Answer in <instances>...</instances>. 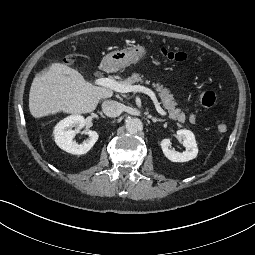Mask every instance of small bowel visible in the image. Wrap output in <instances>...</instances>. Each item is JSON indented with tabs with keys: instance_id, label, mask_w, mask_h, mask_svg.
<instances>
[{
	"instance_id": "c3829d8e",
	"label": "small bowel",
	"mask_w": 255,
	"mask_h": 255,
	"mask_svg": "<svg viewBox=\"0 0 255 255\" xmlns=\"http://www.w3.org/2000/svg\"><path fill=\"white\" fill-rule=\"evenodd\" d=\"M196 119H197V117H196V115H195V114H192V115L190 116V120H191V122H195V121H196Z\"/></svg>"
}]
</instances>
